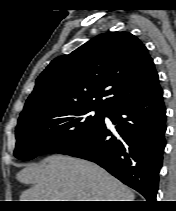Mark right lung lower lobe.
<instances>
[{
  "label": "right lung lower lobe",
  "instance_id": "1",
  "mask_svg": "<svg viewBox=\"0 0 176 211\" xmlns=\"http://www.w3.org/2000/svg\"><path fill=\"white\" fill-rule=\"evenodd\" d=\"M165 113L163 90L158 86L150 94L106 112L115 130H109L103 121L57 153L97 163L152 202L165 147Z\"/></svg>",
  "mask_w": 176,
  "mask_h": 211
}]
</instances>
